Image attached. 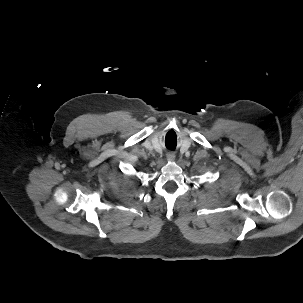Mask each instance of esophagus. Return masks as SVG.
<instances>
[{
  "label": "esophagus",
  "instance_id": "1",
  "mask_svg": "<svg viewBox=\"0 0 303 303\" xmlns=\"http://www.w3.org/2000/svg\"><path fill=\"white\" fill-rule=\"evenodd\" d=\"M175 157H176L175 154L172 153V152H170V153L167 154L168 160H175Z\"/></svg>",
  "mask_w": 303,
  "mask_h": 303
}]
</instances>
